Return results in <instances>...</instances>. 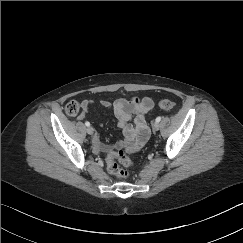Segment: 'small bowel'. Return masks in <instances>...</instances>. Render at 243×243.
Segmentation results:
<instances>
[{
    "label": "small bowel",
    "mask_w": 243,
    "mask_h": 243,
    "mask_svg": "<svg viewBox=\"0 0 243 243\" xmlns=\"http://www.w3.org/2000/svg\"><path fill=\"white\" fill-rule=\"evenodd\" d=\"M93 104L91 100L82 102L83 111L79 118L85 117L86 111ZM100 104L105 108L113 109L115 119L122 129V139L114 145L103 143L98 136L92 140L94 152L96 154H110L116 150H126L134 152L139 150L146 142L149 132L146 125V115L153 107L154 102L149 97L117 98L113 101L102 100Z\"/></svg>",
    "instance_id": "c3829d8e"
}]
</instances>
